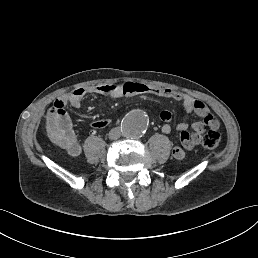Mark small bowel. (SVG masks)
I'll use <instances>...</instances> for the list:
<instances>
[{
	"label": "small bowel",
	"instance_id": "obj_1",
	"mask_svg": "<svg viewBox=\"0 0 258 258\" xmlns=\"http://www.w3.org/2000/svg\"><path fill=\"white\" fill-rule=\"evenodd\" d=\"M88 94L106 95L112 98H121L137 94H152L164 98H172L182 103L186 113H194L202 118L195 122L191 131L186 122H180L175 126L181 146L173 148L172 153L176 159H183L186 151L193 149L201 142L206 128L217 129L218 120L211 114L209 108L201 100L195 99L189 94L165 87H157L137 82H124L120 84H102L86 88H77L72 92L58 98L49 108L46 116V129L50 140L59 148L66 151L70 156L77 157L81 154V145L72 128L71 121L65 110L67 106L80 108L83 98ZM172 113L164 110L160 118L164 122L161 130L165 134L172 132L170 125ZM111 123L108 118L96 119L91 122L93 132L107 127Z\"/></svg>",
	"mask_w": 258,
	"mask_h": 258
}]
</instances>
